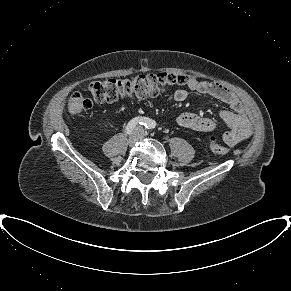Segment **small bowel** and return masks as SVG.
<instances>
[{"mask_svg": "<svg viewBox=\"0 0 291 291\" xmlns=\"http://www.w3.org/2000/svg\"><path fill=\"white\" fill-rule=\"evenodd\" d=\"M189 88L199 93L210 95L231 107L232 111L224 110L219 112V117L229 128L222 136L223 141L227 145H236L250 137V121L245 108L241 100L228 88L222 84L207 81H193V83L189 85ZM188 98V91L182 88L175 90L168 96L169 100H175L177 102L186 101ZM176 120L179 125L200 132H212L218 127L214 120L190 112L179 114Z\"/></svg>", "mask_w": 291, "mask_h": 291, "instance_id": "1", "label": "small bowel"}]
</instances>
